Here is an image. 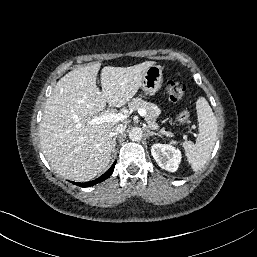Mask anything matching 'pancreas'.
I'll return each mask as SVG.
<instances>
[{
  "mask_svg": "<svg viewBox=\"0 0 257 257\" xmlns=\"http://www.w3.org/2000/svg\"><path fill=\"white\" fill-rule=\"evenodd\" d=\"M130 110L144 109L146 111L145 121L151 129L158 130L159 125L156 123L157 117L160 115V109L153 103L142 100L141 98H134L128 104ZM159 132L167 137H172L171 132L160 129Z\"/></svg>",
  "mask_w": 257,
  "mask_h": 257,
  "instance_id": "obj_1",
  "label": "pancreas"
}]
</instances>
